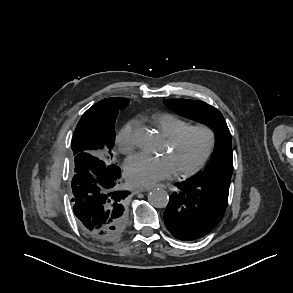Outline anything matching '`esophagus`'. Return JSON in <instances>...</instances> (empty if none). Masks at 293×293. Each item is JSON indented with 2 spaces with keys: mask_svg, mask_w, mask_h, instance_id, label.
<instances>
[{
  "mask_svg": "<svg viewBox=\"0 0 293 293\" xmlns=\"http://www.w3.org/2000/svg\"><path fill=\"white\" fill-rule=\"evenodd\" d=\"M159 187H161V188H166V186L165 185H160ZM153 187H143V188H138L137 190H136V192L137 193H140V192H145V191H149V190H151Z\"/></svg>",
  "mask_w": 293,
  "mask_h": 293,
  "instance_id": "34e87169",
  "label": "esophagus"
}]
</instances>
